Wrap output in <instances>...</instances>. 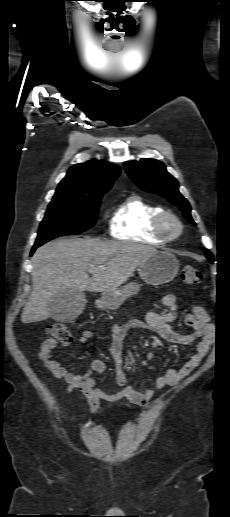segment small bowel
<instances>
[{"label": "small bowel", "instance_id": "small-bowel-1", "mask_svg": "<svg viewBox=\"0 0 230 517\" xmlns=\"http://www.w3.org/2000/svg\"><path fill=\"white\" fill-rule=\"evenodd\" d=\"M161 303L166 307V310L150 312L144 322L135 319L125 324H114L110 327L111 339L108 351L115 362L117 384L122 388L119 392L107 393L96 386L93 375L102 374L106 371V364L101 360L93 361L85 373L69 372L53 357V351L63 347L53 338H47L43 341L38 357L44 367L66 385L68 393L73 390L82 392L92 413H96L100 409L102 400L114 403L125 398L128 402L127 406L133 404L147 405L156 390L177 385L190 375L209 354L210 348L215 342V327L210 323L209 316L203 307L195 303L190 304V312L185 316L184 321L192 329V333L181 334L171 328V323L175 321L179 313L175 296L166 294L161 298ZM129 329L148 330L157 334L163 340L180 346L196 342L194 352L181 367L169 368L166 372L157 376L153 387H146L139 391L128 381L123 367V341ZM93 336V331L86 329L82 332L80 342L84 344L91 340ZM146 358L152 361L156 358V353L148 352Z\"/></svg>", "mask_w": 230, "mask_h": 517}]
</instances>
